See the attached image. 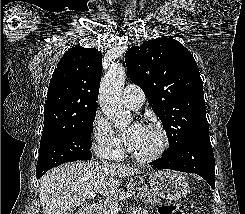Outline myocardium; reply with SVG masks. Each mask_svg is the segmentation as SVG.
I'll list each match as a JSON object with an SVG mask.
<instances>
[{"mask_svg": "<svg viewBox=\"0 0 245 214\" xmlns=\"http://www.w3.org/2000/svg\"><path fill=\"white\" fill-rule=\"evenodd\" d=\"M144 126L152 130H155L159 133L161 137V144L159 148L155 152L148 155L136 154L132 152L129 148H127V152L133 159L140 162L148 163L159 159L167 151L170 144V139L166 129L162 125L157 123H148L145 124Z\"/></svg>", "mask_w": 245, "mask_h": 214, "instance_id": "obj_1", "label": "myocardium"}]
</instances>
